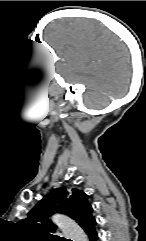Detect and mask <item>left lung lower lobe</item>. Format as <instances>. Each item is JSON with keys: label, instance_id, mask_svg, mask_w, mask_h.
I'll return each mask as SVG.
<instances>
[{"label": "left lung lower lobe", "instance_id": "0a47b994", "mask_svg": "<svg viewBox=\"0 0 146 241\" xmlns=\"http://www.w3.org/2000/svg\"><path fill=\"white\" fill-rule=\"evenodd\" d=\"M95 225H96V220L94 219L83 227L90 241H96L98 238L97 232L95 231Z\"/></svg>", "mask_w": 146, "mask_h": 241}]
</instances>
